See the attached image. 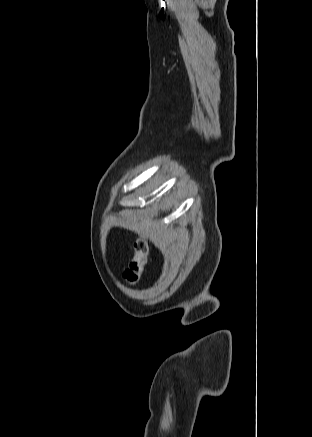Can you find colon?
Wrapping results in <instances>:
<instances>
[{"label":"colon","instance_id":"5ec220e1","mask_svg":"<svg viewBox=\"0 0 312 437\" xmlns=\"http://www.w3.org/2000/svg\"><path fill=\"white\" fill-rule=\"evenodd\" d=\"M135 255L127 268L124 270L122 277L130 284L139 281L144 267L148 261L149 247L144 236H139L134 243Z\"/></svg>","mask_w":312,"mask_h":437}]
</instances>
